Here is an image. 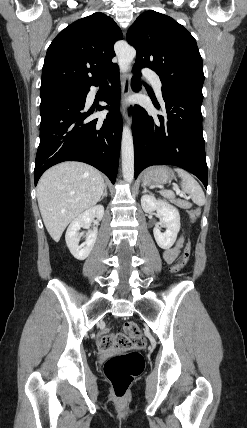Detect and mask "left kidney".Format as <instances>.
<instances>
[{
	"label": "left kidney",
	"instance_id": "5707ae66",
	"mask_svg": "<svg viewBox=\"0 0 247 428\" xmlns=\"http://www.w3.org/2000/svg\"><path fill=\"white\" fill-rule=\"evenodd\" d=\"M141 206L146 213L152 211L158 213L160 226L165 227L166 231L161 232V227H154L155 240L160 248H171L180 231V214L178 209L165 200L156 199L153 195H143L141 197Z\"/></svg>",
	"mask_w": 247,
	"mask_h": 428
}]
</instances>
